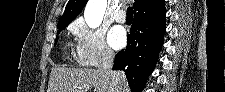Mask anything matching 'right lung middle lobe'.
Instances as JSON below:
<instances>
[{
  "mask_svg": "<svg viewBox=\"0 0 225 92\" xmlns=\"http://www.w3.org/2000/svg\"><path fill=\"white\" fill-rule=\"evenodd\" d=\"M69 23H58V32L57 33H60V31H62ZM58 41V37H56V42L55 44L57 43Z\"/></svg>",
  "mask_w": 225,
  "mask_h": 92,
  "instance_id": "1",
  "label": "right lung middle lobe"
}]
</instances>
